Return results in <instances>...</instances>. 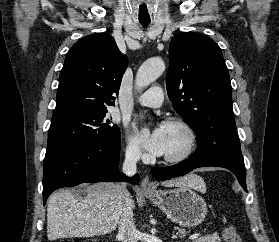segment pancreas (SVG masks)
I'll return each instance as SVG.
<instances>
[{"label": "pancreas", "instance_id": "obj_1", "mask_svg": "<svg viewBox=\"0 0 279 242\" xmlns=\"http://www.w3.org/2000/svg\"><path fill=\"white\" fill-rule=\"evenodd\" d=\"M179 233L184 235L186 233V231L184 229H180ZM193 242H220V237L217 233H213V234H208V235L202 236V237L194 240Z\"/></svg>", "mask_w": 279, "mask_h": 242}]
</instances>
